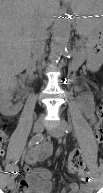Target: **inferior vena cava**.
I'll use <instances>...</instances> for the list:
<instances>
[{
    "label": "inferior vena cava",
    "instance_id": "obj_1",
    "mask_svg": "<svg viewBox=\"0 0 103 193\" xmlns=\"http://www.w3.org/2000/svg\"><path fill=\"white\" fill-rule=\"evenodd\" d=\"M46 40L45 28L42 24H37L31 27L30 48L33 54V60L41 63L44 54Z\"/></svg>",
    "mask_w": 103,
    "mask_h": 193
}]
</instances>
